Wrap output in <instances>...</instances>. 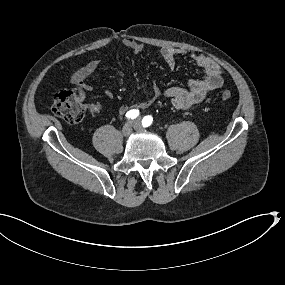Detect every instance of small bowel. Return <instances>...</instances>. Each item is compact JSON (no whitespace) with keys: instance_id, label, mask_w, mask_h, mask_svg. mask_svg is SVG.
Instances as JSON below:
<instances>
[{"instance_id":"c3829d8e","label":"small bowel","mask_w":285,"mask_h":285,"mask_svg":"<svg viewBox=\"0 0 285 285\" xmlns=\"http://www.w3.org/2000/svg\"><path fill=\"white\" fill-rule=\"evenodd\" d=\"M122 46L136 54L143 51V45L132 38H124L122 40ZM184 54L185 52L183 50L172 47H166L161 50V56L169 66H174L177 56ZM190 57L203 70V77L201 79L189 80L186 87L173 86L163 91L170 103L178 110L187 109L201 103L210 92L223 85V71L214 60L199 54H191ZM99 65L100 62L95 59L79 68L71 77L72 84L81 90H91L92 86L87 82V78L97 71ZM160 93L161 89L157 84H154L151 90V96L147 100L138 102L132 107L144 109L148 107ZM106 95L112 97L113 93L111 90H107ZM130 108L128 105H123L120 107L119 112L127 113Z\"/></svg>"}]
</instances>
